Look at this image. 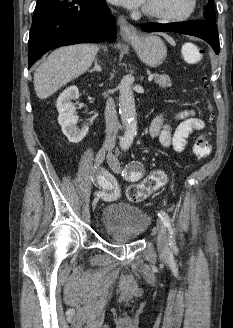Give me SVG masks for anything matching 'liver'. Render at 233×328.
<instances>
[{"label": "liver", "instance_id": "obj_1", "mask_svg": "<svg viewBox=\"0 0 233 328\" xmlns=\"http://www.w3.org/2000/svg\"><path fill=\"white\" fill-rule=\"evenodd\" d=\"M99 51L94 44L61 47L53 51L34 72L38 98L46 99L62 86L87 71Z\"/></svg>", "mask_w": 233, "mask_h": 328}]
</instances>
